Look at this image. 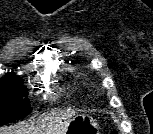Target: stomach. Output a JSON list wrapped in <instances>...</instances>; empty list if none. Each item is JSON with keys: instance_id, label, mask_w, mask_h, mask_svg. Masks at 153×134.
Instances as JSON below:
<instances>
[{"instance_id": "1", "label": "stomach", "mask_w": 153, "mask_h": 134, "mask_svg": "<svg viewBox=\"0 0 153 134\" xmlns=\"http://www.w3.org/2000/svg\"><path fill=\"white\" fill-rule=\"evenodd\" d=\"M63 134H99L97 122L88 114H77Z\"/></svg>"}]
</instances>
